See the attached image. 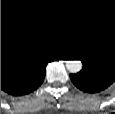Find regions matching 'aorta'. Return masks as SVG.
I'll return each mask as SVG.
<instances>
[{
	"label": "aorta",
	"instance_id": "obj_1",
	"mask_svg": "<svg viewBox=\"0 0 115 114\" xmlns=\"http://www.w3.org/2000/svg\"><path fill=\"white\" fill-rule=\"evenodd\" d=\"M66 68L71 73H77L82 69V63L79 60H68Z\"/></svg>",
	"mask_w": 115,
	"mask_h": 114
}]
</instances>
